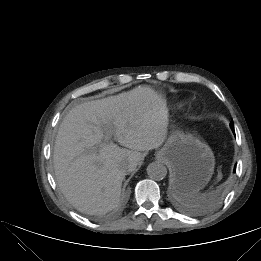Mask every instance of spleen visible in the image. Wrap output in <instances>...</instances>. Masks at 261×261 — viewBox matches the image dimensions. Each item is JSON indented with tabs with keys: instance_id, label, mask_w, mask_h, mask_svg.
<instances>
[{
	"instance_id": "3e777b00",
	"label": "spleen",
	"mask_w": 261,
	"mask_h": 261,
	"mask_svg": "<svg viewBox=\"0 0 261 261\" xmlns=\"http://www.w3.org/2000/svg\"><path fill=\"white\" fill-rule=\"evenodd\" d=\"M201 196L197 193L193 194H182L179 196V199L187 204L194 205L197 204Z\"/></svg>"
}]
</instances>
